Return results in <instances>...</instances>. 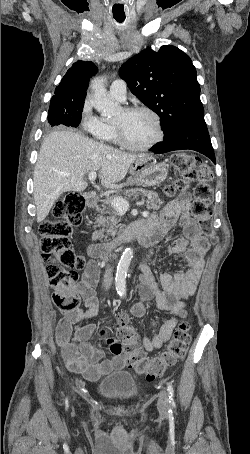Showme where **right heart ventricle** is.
<instances>
[{
    "mask_svg": "<svg viewBox=\"0 0 250 454\" xmlns=\"http://www.w3.org/2000/svg\"><path fill=\"white\" fill-rule=\"evenodd\" d=\"M101 122H102V128H101L100 132L98 133L97 137L101 141H104V142H112V143L117 142L113 123L103 122V121H101Z\"/></svg>",
    "mask_w": 250,
    "mask_h": 454,
    "instance_id": "right-heart-ventricle-1",
    "label": "right heart ventricle"
}]
</instances>
